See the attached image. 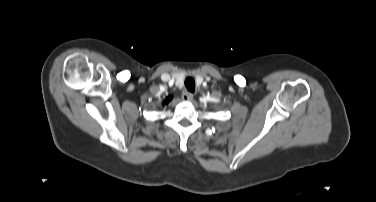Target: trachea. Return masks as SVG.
Returning a JSON list of instances; mask_svg holds the SVG:
<instances>
[{
	"label": "trachea",
	"instance_id": "trachea-1",
	"mask_svg": "<svg viewBox=\"0 0 376 202\" xmlns=\"http://www.w3.org/2000/svg\"><path fill=\"white\" fill-rule=\"evenodd\" d=\"M185 87L189 92H194L195 91V81L191 77H187L185 79Z\"/></svg>",
	"mask_w": 376,
	"mask_h": 202
}]
</instances>
